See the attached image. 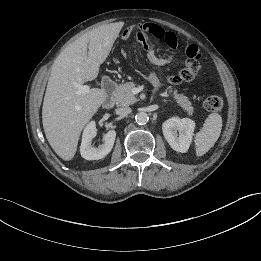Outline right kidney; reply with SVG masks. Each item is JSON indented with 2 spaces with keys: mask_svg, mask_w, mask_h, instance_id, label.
I'll use <instances>...</instances> for the list:
<instances>
[{
  "mask_svg": "<svg viewBox=\"0 0 261 261\" xmlns=\"http://www.w3.org/2000/svg\"><path fill=\"white\" fill-rule=\"evenodd\" d=\"M96 124L95 121H91L87 124L83 131L82 142L80 146V154L86 160H99L104 158L110 153L113 148L116 132L115 130H109L104 134V143L98 148L91 146L92 139L96 136Z\"/></svg>",
  "mask_w": 261,
  "mask_h": 261,
  "instance_id": "1",
  "label": "right kidney"
}]
</instances>
